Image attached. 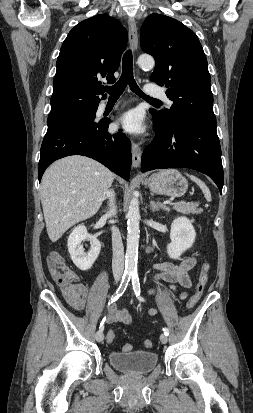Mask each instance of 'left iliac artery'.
I'll use <instances>...</instances> for the list:
<instances>
[{
	"instance_id": "44dca946",
	"label": "left iliac artery",
	"mask_w": 253,
	"mask_h": 413,
	"mask_svg": "<svg viewBox=\"0 0 253 413\" xmlns=\"http://www.w3.org/2000/svg\"><path fill=\"white\" fill-rule=\"evenodd\" d=\"M132 286H133V291L135 295L137 296V298L140 301L144 302L145 299L141 297V289H140V283H139V278H138L137 273L132 274ZM163 332L166 336L169 335V330L167 328H163Z\"/></svg>"
}]
</instances>
